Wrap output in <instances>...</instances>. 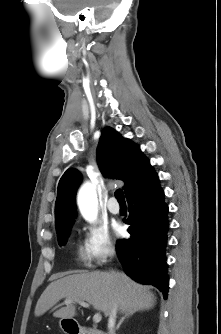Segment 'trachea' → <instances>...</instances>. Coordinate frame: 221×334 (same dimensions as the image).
<instances>
[{
    "instance_id": "3493384b",
    "label": "trachea",
    "mask_w": 221,
    "mask_h": 334,
    "mask_svg": "<svg viewBox=\"0 0 221 334\" xmlns=\"http://www.w3.org/2000/svg\"><path fill=\"white\" fill-rule=\"evenodd\" d=\"M115 197L117 198L119 203H125V197L122 189L116 190Z\"/></svg>"
}]
</instances>
